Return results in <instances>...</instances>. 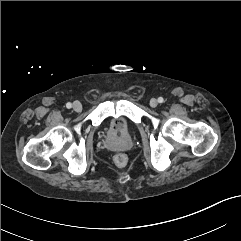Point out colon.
<instances>
[{
	"mask_svg": "<svg viewBox=\"0 0 241 241\" xmlns=\"http://www.w3.org/2000/svg\"><path fill=\"white\" fill-rule=\"evenodd\" d=\"M114 162L118 166H124L127 163V156L123 153H118L114 156Z\"/></svg>",
	"mask_w": 241,
	"mask_h": 241,
	"instance_id": "colon-1",
	"label": "colon"
}]
</instances>
